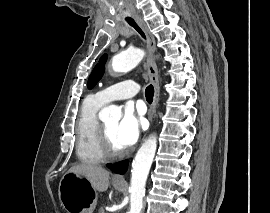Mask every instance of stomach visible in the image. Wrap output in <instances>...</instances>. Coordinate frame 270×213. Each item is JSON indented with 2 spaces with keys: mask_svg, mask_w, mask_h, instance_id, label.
Returning a JSON list of instances; mask_svg holds the SVG:
<instances>
[{
  "mask_svg": "<svg viewBox=\"0 0 270 213\" xmlns=\"http://www.w3.org/2000/svg\"><path fill=\"white\" fill-rule=\"evenodd\" d=\"M122 191L124 186L113 184ZM59 200L67 213H93L97 204V195L91 184L81 175L66 172L59 183Z\"/></svg>",
  "mask_w": 270,
  "mask_h": 213,
  "instance_id": "obj_1",
  "label": "stomach"
}]
</instances>
